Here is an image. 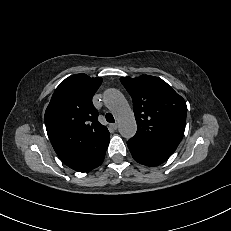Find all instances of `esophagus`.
Here are the masks:
<instances>
[{"mask_svg": "<svg viewBox=\"0 0 231 231\" xmlns=\"http://www.w3.org/2000/svg\"><path fill=\"white\" fill-rule=\"evenodd\" d=\"M111 127L116 130L118 128V124L117 123H114V124H111Z\"/></svg>", "mask_w": 231, "mask_h": 231, "instance_id": "obj_1", "label": "esophagus"}]
</instances>
